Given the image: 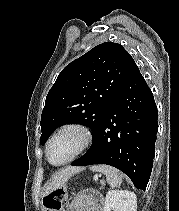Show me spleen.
<instances>
[{
	"label": "spleen",
	"mask_w": 179,
	"mask_h": 211,
	"mask_svg": "<svg viewBox=\"0 0 179 211\" xmlns=\"http://www.w3.org/2000/svg\"><path fill=\"white\" fill-rule=\"evenodd\" d=\"M91 170L104 174L106 176L108 184L112 188L120 187L122 178L117 169L107 165H99V166H92Z\"/></svg>",
	"instance_id": "1"
}]
</instances>
